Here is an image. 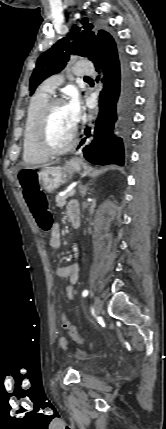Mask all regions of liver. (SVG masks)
Returning a JSON list of instances; mask_svg holds the SVG:
<instances>
[{
	"instance_id": "obj_1",
	"label": "liver",
	"mask_w": 166,
	"mask_h": 429,
	"mask_svg": "<svg viewBox=\"0 0 166 429\" xmlns=\"http://www.w3.org/2000/svg\"><path fill=\"white\" fill-rule=\"evenodd\" d=\"M54 163H56V162H54ZM54 163L45 164V165H43V167H44V168H47V167H49L50 165H52V164H54Z\"/></svg>"
}]
</instances>
